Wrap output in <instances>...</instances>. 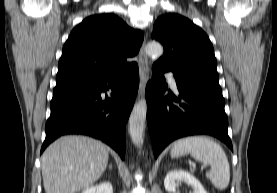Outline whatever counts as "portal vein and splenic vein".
I'll use <instances>...</instances> for the list:
<instances>
[{"label": "portal vein and splenic vein", "mask_w": 277, "mask_h": 193, "mask_svg": "<svg viewBox=\"0 0 277 193\" xmlns=\"http://www.w3.org/2000/svg\"><path fill=\"white\" fill-rule=\"evenodd\" d=\"M207 167V164H203L202 166H201V169H205Z\"/></svg>", "instance_id": "portal-vein-and-splenic-vein-1"}]
</instances>
